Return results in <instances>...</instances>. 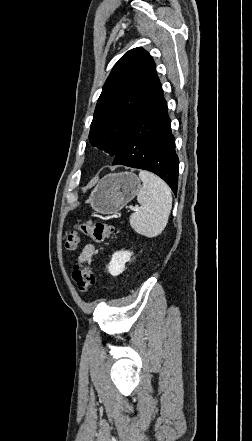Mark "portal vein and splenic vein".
<instances>
[{"instance_id":"1","label":"portal vein and splenic vein","mask_w":252,"mask_h":441,"mask_svg":"<svg viewBox=\"0 0 252 441\" xmlns=\"http://www.w3.org/2000/svg\"><path fill=\"white\" fill-rule=\"evenodd\" d=\"M138 209H139L138 207H133V206L130 207V210H132V211L138 210Z\"/></svg>"}]
</instances>
